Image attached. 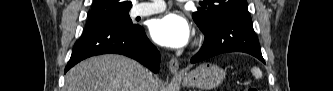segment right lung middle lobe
<instances>
[{
    "label": "right lung middle lobe",
    "instance_id": "right-lung-middle-lobe-1",
    "mask_svg": "<svg viewBox=\"0 0 333 91\" xmlns=\"http://www.w3.org/2000/svg\"><path fill=\"white\" fill-rule=\"evenodd\" d=\"M128 12L129 11H126V12H123L120 14H116V15H112V16L102 17V18L89 19L88 23L133 26V25H135V23L132 22Z\"/></svg>",
    "mask_w": 333,
    "mask_h": 91
}]
</instances>
